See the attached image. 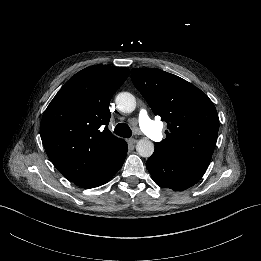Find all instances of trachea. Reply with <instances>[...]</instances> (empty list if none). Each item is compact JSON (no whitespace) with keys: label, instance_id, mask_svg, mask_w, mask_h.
<instances>
[{"label":"trachea","instance_id":"trachea-1","mask_svg":"<svg viewBox=\"0 0 261 261\" xmlns=\"http://www.w3.org/2000/svg\"><path fill=\"white\" fill-rule=\"evenodd\" d=\"M114 133L123 138H130L132 131L126 123H119L116 125Z\"/></svg>","mask_w":261,"mask_h":261}]
</instances>
